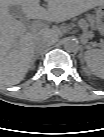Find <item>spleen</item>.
Masks as SVG:
<instances>
[{"instance_id": "obj_1", "label": "spleen", "mask_w": 104, "mask_h": 137, "mask_svg": "<svg viewBox=\"0 0 104 137\" xmlns=\"http://www.w3.org/2000/svg\"><path fill=\"white\" fill-rule=\"evenodd\" d=\"M85 61L88 68L94 74H101L103 72V51L100 49H90L85 52Z\"/></svg>"}]
</instances>
